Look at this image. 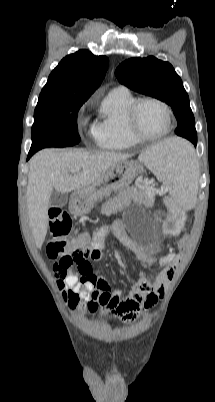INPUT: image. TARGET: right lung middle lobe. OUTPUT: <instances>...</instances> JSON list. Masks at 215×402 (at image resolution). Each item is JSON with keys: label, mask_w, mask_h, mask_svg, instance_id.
Instances as JSON below:
<instances>
[{"label": "right lung middle lobe", "mask_w": 215, "mask_h": 402, "mask_svg": "<svg viewBox=\"0 0 215 402\" xmlns=\"http://www.w3.org/2000/svg\"><path fill=\"white\" fill-rule=\"evenodd\" d=\"M88 98L39 96L32 126L34 154L45 147L73 146L80 142L77 113Z\"/></svg>", "instance_id": "right-lung-middle-lobe-1"}]
</instances>
